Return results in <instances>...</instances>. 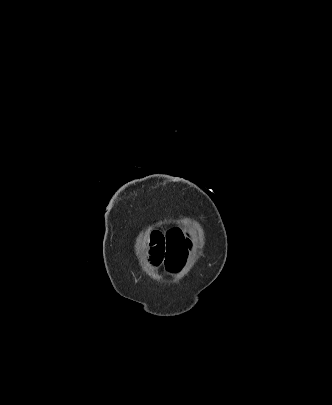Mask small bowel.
I'll return each instance as SVG.
<instances>
[{"label": "small bowel", "instance_id": "1", "mask_svg": "<svg viewBox=\"0 0 332 405\" xmlns=\"http://www.w3.org/2000/svg\"><path fill=\"white\" fill-rule=\"evenodd\" d=\"M150 265L163 267L169 274L178 273L186 263L188 247L179 230L154 231L146 240Z\"/></svg>", "mask_w": 332, "mask_h": 405}]
</instances>
